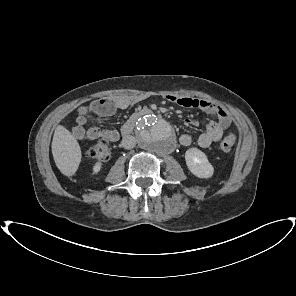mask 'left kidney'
I'll use <instances>...</instances> for the list:
<instances>
[{
	"label": "left kidney",
	"instance_id": "left-kidney-1",
	"mask_svg": "<svg viewBox=\"0 0 296 296\" xmlns=\"http://www.w3.org/2000/svg\"><path fill=\"white\" fill-rule=\"evenodd\" d=\"M185 161L190 172L199 178H209L214 173V168L207 156L198 148H190L185 152Z\"/></svg>",
	"mask_w": 296,
	"mask_h": 296
}]
</instances>
